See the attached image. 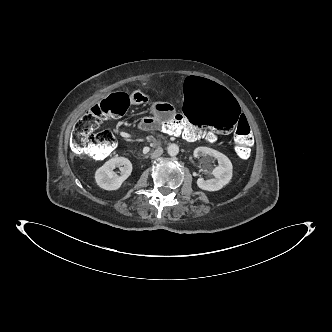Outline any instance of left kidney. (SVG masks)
Instances as JSON below:
<instances>
[{
  "instance_id": "obj_1",
  "label": "left kidney",
  "mask_w": 332,
  "mask_h": 332,
  "mask_svg": "<svg viewBox=\"0 0 332 332\" xmlns=\"http://www.w3.org/2000/svg\"><path fill=\"white\" fill-rule=\"evenodd\" d=\"M203 156V163H209L213 158L217 159L218 166L212 170V174L215 178L204 180L198 178L197 186L206 191H218L227 185L232 179V163L227 156L224 154L208 148L198 147L194 150V157L199 158Z\"/></svg>"
}]
</instances>
